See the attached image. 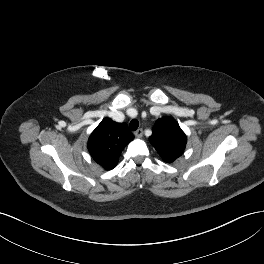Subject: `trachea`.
Wrapping results in <instances>:
<instances>
[{"mask_svg": "<svg viewBox=\"0 0 264 264\" xmlns=\"http://www.w3.org/2000/svg\"><path fill=\"white\" fill-rule=\"evenodd\" d=\"M138 127H139V122L136 119H132L129 124L130 130L135 131Z\"/></svg>", "mask_w": 264, "mask_h": 264, "instance_id": "obj_1", "label": "trachea"}]
</instances>
